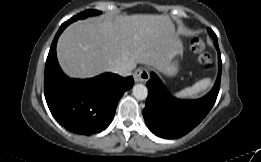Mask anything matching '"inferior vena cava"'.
<instances>
[{
    "mask_svg": "<svg viewBox=\"0 0 261 162\" xmlns=\"http://www.w3.org/2000/svg\"><path fill=\"white\" fill-rule=\"evenodd\" d=\"M136 68V64H130V65H117L114 68L111 69L113 73L119 74L120 76H130L132 74V71Z\"/></svg>",
    "mask_w": 261,
    "mask_h": 162,
    "instance_id": "obj_1",
    "label": "inferior vena cava"
}]
</instances>
